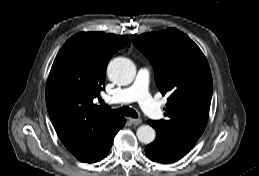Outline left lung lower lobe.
I'll list each match as a JSON object with an SVG mask.
<instances>
[{"label":"left lung lower lobe","instance_id":"obj_1","mask_svg":"<svg viewBox=\"0 0 259 176\" xmlns=\"http://www.w3.org/2000/svg\"><path fill=\"white\" fill-rule=\"evenodd\" d=\"M148 123L155 128L157 136L154 142L146 147L145 153L154 162L173 163L186 155L195 144L169 136L158 129L154 121L149 120Z\"/></svg>","mask_w":259,"mask_h":176}]
</instances>
